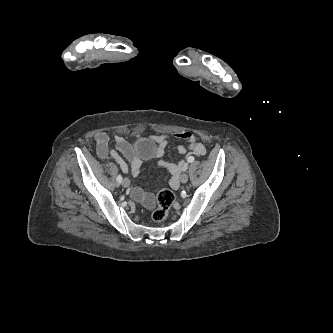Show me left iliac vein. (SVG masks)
Listing matches in <instances>:
<instances>
[{"mask_svg":"<svg viewBox=\"0 0 333 333\" xmlns=\"http://www.w3.org/2000/svg\"><path fill=\"white\" fill-rule=\"evenodd\" d=\"M179 179L182 183H186L188 181V175L186 173H182Z\"/></svg>","mask_w":333,"mask_h":333,"instance_id":"left-iliac-vein-1","label":"left iliac vein"}]
</instances>
